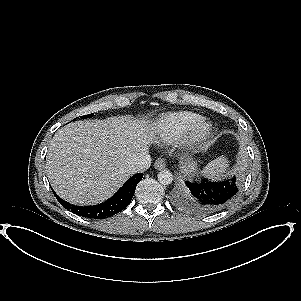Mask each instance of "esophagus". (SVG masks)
<instances>
[{"instance_id":"1","label":"esophagus","mask_w":301,"mask_h":301,"mask_svg":"<svg viewBox=\"0 0 301 301\" xmlns=\"http://www.w3.org/2000/svg\"><path fill=\"white\" fill-rule=\"evenodd\" d=\"M154 166L156 169L161 170L164 169L166 167V161L163 158H158L155 163Z\"/></svg>"}]
</instances>
